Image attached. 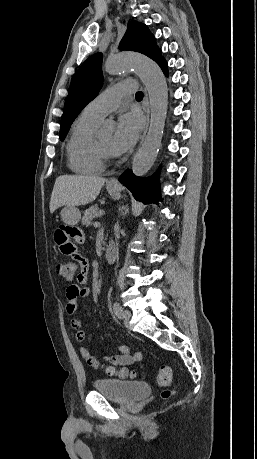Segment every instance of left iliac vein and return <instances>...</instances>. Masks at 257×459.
Returning <instances> with one entry per match:
<instances>
[{
  "instance_id": "left-iliac-vein-1",
  "label": "left iliac vein",
  "mask_w": 257,
  "mask_h": 459,
  "mask_svg": "<svg viewBox=\"0 0 257 459\" xmlns=\"http://www.w3.org/2000/svg\"><path fill=\"white\" fill-rule=\"evenodd\" d=\"M122 316H123V320H124V324H125L126 328L128 330H131V325L129 323L130 318H131V312L129 310H124Z\"/></svg>"
}]
</instances>
